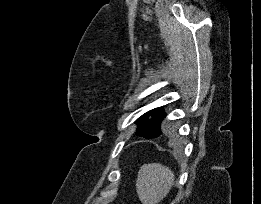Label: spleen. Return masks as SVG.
Instances as JSON below:
<instances>
[{
    "label": "spleen",
    "mask_w": 261,
    "mask_h": 204,
    "mask_svg": "<svg viewBox=\"0 0 261 204\" xmlns=\"http://www.w3.org/2000/svg\"><path fill=\"white\" fill-rule=\"evenodd\" d=\"M174 173L160 163L144 164L136 180V189L143 204H158L169 193Z\"/></svg>",
    "instance_id": "obj_1"
}]
</instances>
